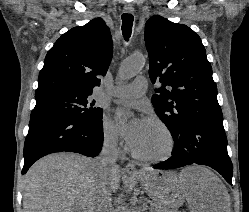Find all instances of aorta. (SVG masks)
I'll return each mask as SVG.
<instances>
[{"label": "aorta", "instance_id": "aorta-1", "mask_svg": "<svg viewBox=\"0 0 249 212\" xmlns=\"http://www.w3.org/2000/svg\"><path fill=\"white\" fill-rule=\"evenodd\" d=\"M144 63H145V58L143 55H133L128 57L122 62L119 68L118 72L119 79L123 81L134 77L140 72V70L144 66ZM132 205L127 210L128 212H135Z\"/></svg>", "mask_w": 249, "mask_h": 212}]
</instances>
